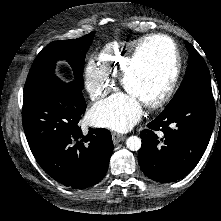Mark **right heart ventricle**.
<instances>
[{"instance_id": "obj_1", "label": "right heart ventricle", "mask_w": 221, "mask_h": 221, "mask_svg": "<svg viewBox=\"0 0 221 221\" xmlns=\"http://www.w3.org/2000/svg\"><path fill=\"white\" fill-rule=\"evenodd\" d=\"M142 37L107 44L98 57V64L106 76L119 77L128 61L130 52Z\"/></svg>"}]
</instances>
